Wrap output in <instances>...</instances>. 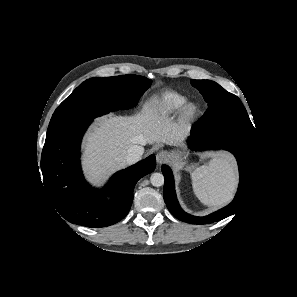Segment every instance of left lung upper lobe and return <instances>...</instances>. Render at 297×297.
<instances>
[{
  "label": "left lung upper lobe",
  "instance_id": "left-lung-upper-lobe-1",
  "mask_svg": "<svg viewBox=\"0 0 297 297\" xmlns=\"http://www.w3.org/2000/svg\"><path fill=\"white\" fill-rule=\"evenodd\" d=\"M191 84L208 103L204 116L195 124L201 132L231 129L256 136L247 111L237 96L211 80H191Z\"/></svg>",
  "mask_w": 297,
  "mask_h": 297
}]
</instances>
